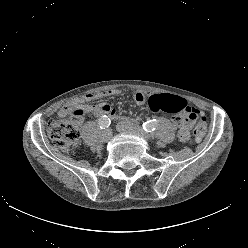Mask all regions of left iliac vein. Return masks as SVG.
<instances>
[{
	"instance_id": "1",
	"label": "left iliac vein",
	"mask_w": 248,
	"mask_h": 248,
	"mask_svg": "<svg viewBox=\"0 0 248 248\" xmlns=\"http://www.w3.org/2000/svg\"><path fill=\"white\" fill-rule=\"evenodd\" d=\"M117 130L121 133H127V134H133L136 136H139L146 141L152 140V135L149 133H146L143 129L140 127H137L129 122H120L116 126Z\"/></svg>"
}]
</instances>
